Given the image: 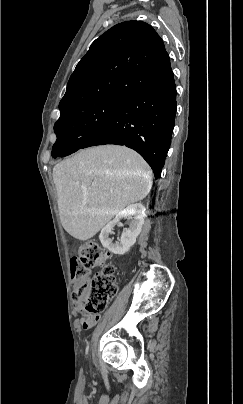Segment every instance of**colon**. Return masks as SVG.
I'll list each match as a JSON object with an SVG mask.
<instances>
[{"instance_id": "obj_1", "label": "colon", "mask_w": 243, "mask_h": 404, "mask_svg": "<svg viewBox=\"0 0 243 404\" xmlns=\"http://www.w3.org/2000/svg\"><path fill=\"white\" fill-rule=\"evenodd\" d=\"M108 259L109 254L97 243L85 242L79 247V255L71 260L73 298L84 302L85 312L90 316L101 313L116 293L114 266ZM96 267L102 270L91 276Z\"/></svg>"}]
</instances>
